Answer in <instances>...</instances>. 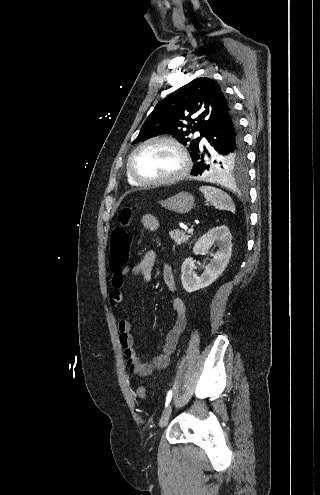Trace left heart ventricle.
Here are the masks:
<instances>
[{"label": "left heart ventricle", "instance_id": "b2bd125f", "mask_svg": "<svg viewBox=\"0 0 320 495\" xmlns=\"http://www.w3.org/2000/svg\"><path fill=\"white\" fill-rule=\"evenodd\" d=\"M181 166L177 151L165 143L150 144L134 157L133 169L143 179H160L175 174Z\"/></svg>", "mask_w": 320, "mask_h": 495}]
</instances>
